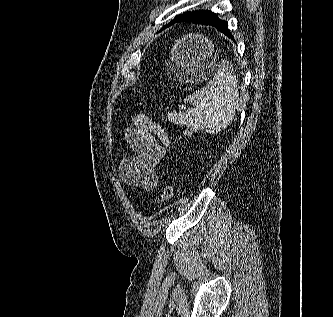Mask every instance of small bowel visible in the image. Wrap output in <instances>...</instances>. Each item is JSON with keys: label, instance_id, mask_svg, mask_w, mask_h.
Returning a JSON list of instances; mask_svg holds the SVG:
<instances>
[{"label": "small bowel", "instance_id": "small-bowel-1", "mask_svg": "<svg viewBox=\"0 0 333 317\" xmlns=\"http://www.w3.org/2000/svg\"><path fill=\"white\" fill-rule=\"evenodd\" d=\"M124 138L135 155L121 161L120 180L130 187L154 190L158 184L156 170L170 145L168 133L150 117L138 113L124 130Z\"/></svg>", "mask_w": 333, "mask_h": 317}]
</instances>
